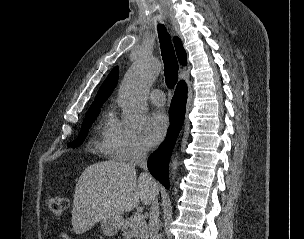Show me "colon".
<instances>
[{
	"instance_id": "5ec220e1",
	"label": "colon",
	"mask_w": 304,
	"mask_h": 239,
	"mask_svg": "<svg viewBox=\"0 0 304 239\" xmlns=\"http://www.w3.org/2000/svg\"><path fill=\"white\" fill-rule=\"evenodd\" d=\"M46 204L50 212L56 216H61L69 206L68 198L62 195H51L47 198Z\"/></svg>"
}]
</instances>
